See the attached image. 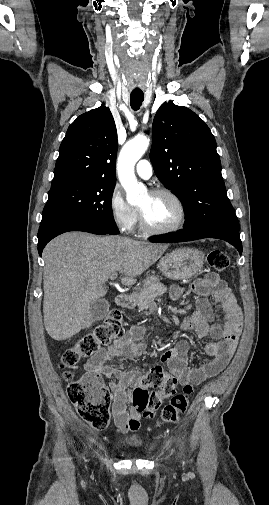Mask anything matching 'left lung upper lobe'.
Instances as JSON below:
<instances>
[{
	"label": "left lung upper lobe",
	"mask_w": 269,
	"mask_h": 505,
	"mask_svg": "<svg viewBox=\"0 0 269 505\" xmlns=\"http://www.w3.org/2000/svg\"><path fill=\"white\" fill-rule=\"evenodd\" d=\"M152 138L150 159L155 174L184 206L186 221L181 231L239 228L226 194L215 138L199 116L165 102L155 115Z\"/></svg>",
	"instance_id": "1"
}]
</instances>
